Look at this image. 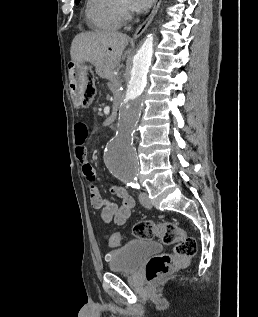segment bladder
<instances>
[{"label":"bladder","instance_id":"bladder-1","mask_svg":"<svg viewBox=\"0 0 258 317\" xmlns=\"http://www.w3.org/2000/svg\"><path fill=\"white\" fill-rule=\"evenodd\" d=\"M161 252L160 243L144 239L131 240L124 246L109 252L108 266L111 271L132 272L137 270L143 262L158 256Z\"/></svg>","mask_w":258,"mask_h":317}]
</instances>
